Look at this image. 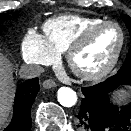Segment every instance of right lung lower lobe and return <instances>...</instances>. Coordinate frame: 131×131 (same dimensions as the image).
<instances>
[{
    "label": "right lung lower lobe",
    "instance_id": "right-lung-lower-lobe-1",
    "mask_svg": "<svg viewBox=\"0 0 131 131\" xmlns=\"http://www.w3.org/2000/svg\"><path fill=\"white\" fill-rule=\"evenodd\" d=\"M38 91V78L30 79L17 88L13 118L3 131H30L32 123L30 112Z\"/></svg>",
    "mask_w": 131,
    "mask_h": 131
}]
</instances>
